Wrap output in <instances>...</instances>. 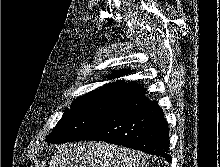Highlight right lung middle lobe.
Wrapping results in <instances>:
<instances>
[{
    "instance_id": "dd1d6c3e",
    "label": "right lung middle lobe",
    "mask_w": 220,
    "mask_h": 167,
    "mask_svg": "<svg viewBox=\"0 0 220 167\" xmlns=\"http://www.w3.org/2000/svg\"><path fill=\"white\" fill-rule=\"evenodd\" d=\"M113 102V99L108 98L75 100L70 108L64 111L46 141L56 144L82 140L101 122Z\"/></svg>"
}]
</instances>
